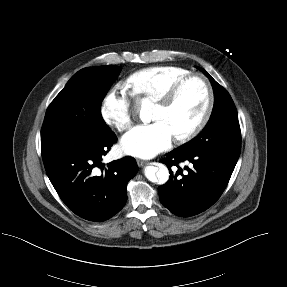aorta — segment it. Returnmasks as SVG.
Returning <instances> with one entry per match:
<instances>
[{
    "mask_svg": "<svg viewBox=\"0 0 287 287\" xmlns=\"http://www.w3.org/2000/svg\"><path fill=\"white\" fill-rule=\"evenodd\" d=\"M144 175L149 181L157 184H165L169 180L168 168L163 164L147 166Z\"/></svg>",
    "mask_w": 287,
    "mask_h": 287,
    "instance_id": "762f6f07",
    "label": "aorta"
}]
</instances>
